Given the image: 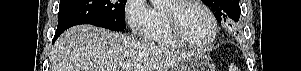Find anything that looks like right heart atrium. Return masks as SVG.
Returning a JSON list of instances; mask_svg holds the SVG:
<instances>
[{
  "label": "right heart atrium",
  "instance_id": "1",
  "mask_svg": "<svg viewBox=\"0 0 301 71\" xmlns=\"http://www.w3.org/2000/svg\"><path fill=\"white\" fill-rule=\"evenodd\" d=\"M152 8L145 0H128L125 6V18L131 29L136 35L145 33L151 21Z\"/></svg>",
  "mask_w": 301,
  "mask_h": 71
}]
</instances>
